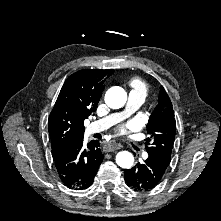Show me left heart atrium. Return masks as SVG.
Returning a JSON list of instances; mask_svg holds the SVG:
<instances>
[{
	"label": "left heart atrium",
	"instance_id": "left-heart-atrium-1",
	"mask_svg": "<svg viewBox=\"0 0 221 221\" xmlns=\"http://www.w3.org/2000/svg\"><path fill=\"white\" fill-rule=\"evenodd\" d=\"M138 129V124L135 120H131L127 122L126 124L118 127L117 134L120 136H123L131 131H136Z\"/></svg>",
	"mask_w": 221,
	"mask_h": 221
}]
</instances>
